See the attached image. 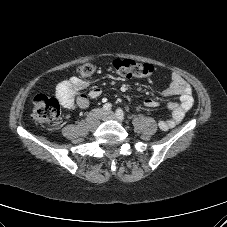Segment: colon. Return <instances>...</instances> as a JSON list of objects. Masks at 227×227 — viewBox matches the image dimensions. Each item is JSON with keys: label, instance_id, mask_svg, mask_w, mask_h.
I'll use <instances>...</instances> for the list:
<instances>
[{"label": "colon", "instance_id": "5ec220e1", "mask_svg": "<svg viewBox=\"0 0 227 227\" xmlns=\"http://www.w3.org/2000/svg\"><path fill=\"white\" fill-rule=\"evenodd\" d=\"M114 70L121 76L149 77L154 68L150 64L139 63L131 59H115L112 63ZM96 67L92 62L78 66L77 73L80 77L88 79L95 73ZM60 115V105L57 99L46 94H38L33 100L32 119L37 124H46L55 121Z\"/></svg>", "mask_w": 227, "mask_h": 227}]
</instances>
